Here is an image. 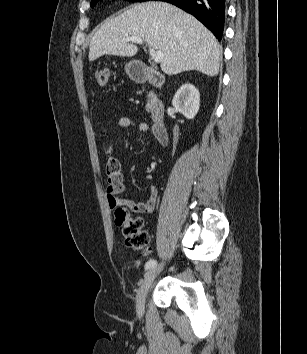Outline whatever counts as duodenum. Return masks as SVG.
Wrapping results in <instances>:
<instances>
[{"label": "duodenum", "mask_w": 307, "mask_h": 354, "mask_svg": "<svg viewBox=\"0 0 307 354\" xmlns=\"http://www.w3.org/2000/svg\"><path fill=\"white\" fill-rule=\"evenodd\" d=\"M133 78L138 83H150L157 88L162 87L164 84V77L149 66L135 70ZM151 119L155 138L159 143L166 144L168 141V129L165 121V108L163 103L157 98H154L152 102Z\"/></svg>", "instance_id": "duodenum-1"}]
</instances>
